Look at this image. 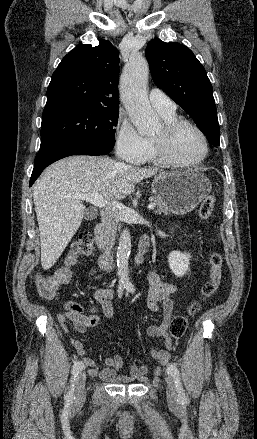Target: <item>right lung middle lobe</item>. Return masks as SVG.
<instances>
[{
  "label": "right lung middle lobe",
  "instance_id": "dd1d6c3e",
  "mask_svg": "<svg viewBox=\"0 0 257 439\" xmlns=\"http://www.w3.org/2000/svg\"><path fill=\"white\" fill-rule=\"evenodd\" d=\"M119 108L70 110L42 119L41 146L59 141L80 140L114 147Z\"/></svg>",
  "mask_w": 257,
  "mask_h": 439
}]
</instances>
